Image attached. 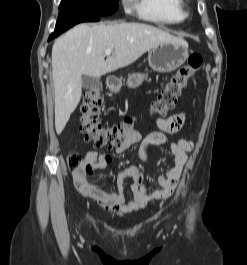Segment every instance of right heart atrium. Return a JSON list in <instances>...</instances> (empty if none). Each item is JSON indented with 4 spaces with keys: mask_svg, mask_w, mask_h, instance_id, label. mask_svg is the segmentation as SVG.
<instances>
[{
    "mask_svg": "<svg viewBox=\"0 0 247 265\" xmlns=\"http://www.w3.org/2000/svg\"><path fill=\"white\" fill-rule=\"evenodd\" d=\"M123 6L126 10H128L131 6L132 0H122Z\"/></svg>",
    "mask_w": 247,
    "mask_h": 265,
    "instance_id": "obj_1",
    "label": "right heart atrium"
}]
</instances>
